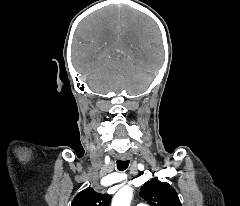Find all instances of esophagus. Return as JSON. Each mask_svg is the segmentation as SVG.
<instances>
[{
    "label": "esophagus",
    "instance_id": "esophagus-1",
    "mask_svg": "<svg viewBox=\"0 0 240 206\" xmlns=\"http://www.w3.org/2000/svg\"><path fill=\"white\" fill-rule=\"evenodd\" d=\"M120 159L123 161H126V160H129L130 158L128 156H122V157H120Z\"/></svg>",
    "mask_w": 240,
    "mask_h": 206
}]
</instances>
